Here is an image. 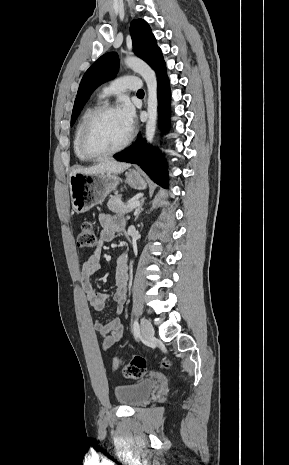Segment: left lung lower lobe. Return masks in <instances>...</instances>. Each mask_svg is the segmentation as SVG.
<instances>
[{"label": "left lung lower lobe", "instance_id": "left-lung-lower-lobe-1", "mask_svg": "<svg viewBox=\"0 0 289 465\" xmlns=\"http://www.w3.org/2000/svg\"><path fill=\"white\" fill-rule=\"evenodd\" d=\"M158 99L162 125L166 129L170 103V85L166 73L158 77ZM114 158L118 161L137 163L157 184L164 188L168 187L166 164L160 160L151 147L146 145L145 140L142 141L141 135L131 148L115 154Z\"/></svg>", "mask_w": 289, "mask_h": 465}]
</instances>
